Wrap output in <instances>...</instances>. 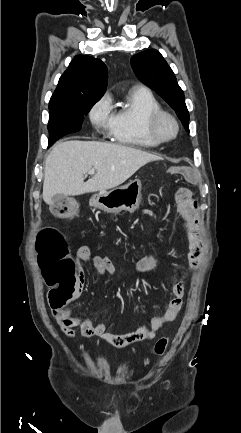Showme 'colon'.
I'll use <instances>...</instances> for the list:
<instances>
[{"mask_svg":"<svg viewBox=\"0 0 241 433\" xmlns=\"http://www.w3.org/2000/svg\"><path fill=\"white\" fill-rule=\"evenodd\" d=\"M162 173L164 177H186L188 184L198 182L194 168H164ZM47 207V215H54L55 221H62L69 214H83L84 211L78 200H54ZM72 226L79 228L81 223L74 221ZM36 252L46 284L50 288L49 302L56 312H65L68 309L66 304L77 295L78 278L63 235L55 228L42 229L38 233ZM167 344L166 337L158 340L153 348L154 353L162 355Z\"/></svg>","mask_w":241,"mask_h":433,"instance_id":"obj_1","label":"colon"}]
</instances>
